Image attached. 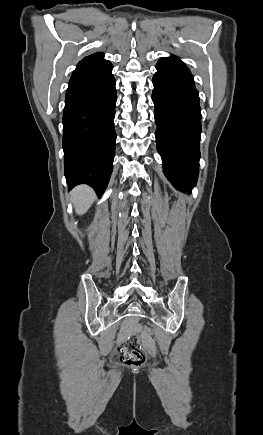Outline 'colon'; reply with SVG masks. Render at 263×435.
Instances as JSON below:
<instances>
[{"instance_id": "1", "label": "colon", "mask_w": 263, "mask_h": 435, "mask_svg": "<svg viewBox=\"0 0 263 435\" xmlns=\"http://www.w3.org/2000/svg\"><path fill=\"white\" fill-rule=\"evenodd\" d=\"M141 329H144L148 335H154V330H151V327H146V324H141ZM145 358V353L139 346L135 335L128 337L112 355L115 363L127 366H139L144 363Z\"/></svg>"}]
</instances>
